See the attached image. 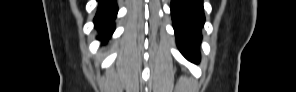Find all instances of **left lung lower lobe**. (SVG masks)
Wrapping results in <instances>:
<instances>
[{
	"label": "left lung lower lobe",
	"instance_id": "0a47b994",
	"mask_svg": "<svg viewBox=\"0 0 296 92\" xmlns=\"http://www.w3.org/2000/svg\"><path fill=\"white\" fill-rule=\"evenodd\" d=\"M171 15L181 53L197 63L200 59L201 28L205 22L203 0H171Z\"/></svg>",
	"mask_w": 296,
	"mask_h": 92
}]
</instances>
